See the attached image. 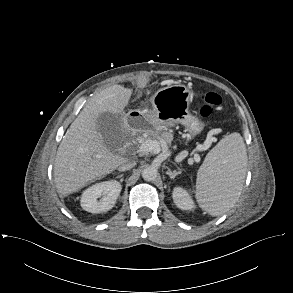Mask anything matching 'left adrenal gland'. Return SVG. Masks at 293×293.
I'll use <instances>...</instances> for the list:
<instances>
[{
  "mask_svg": "<svg viewBox=\"0 0 293 293\" xmlns=\"http://www.w3.org/2000/svg\"><path fill=\"white\" fill-rule=\"evenodd\" d=\"M166 174L169 175L171 179H174L177 175L181 174V171H171L170 169H168Z\"/></svg>",
  "mask_w": 293,
  "mask_h": 293,
  "instance_id": "1",
  "label": "left adrenal gland"
}]
</instances>
